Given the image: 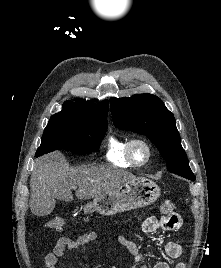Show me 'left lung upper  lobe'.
I'll return each instance as SVG.
<instances>
[{
    "label": "left lung upper lobe",
    "instance_id": "1",
    "mask_svg": "<svg viewBox=\"0 0 221 268\" xmlns=\"http://www.w3.org/2000/svg\"><path fill=\"white\" fill-rule=\"evenodd\" d=\"M110 109L117 128L146 135L156 145L168 171L185 178L193 175L175 118L157 96L143 93L130 98H111Z\"/></svg>",
    "mask_w": 221,
    "mask_h": 268
}]
</instances>
